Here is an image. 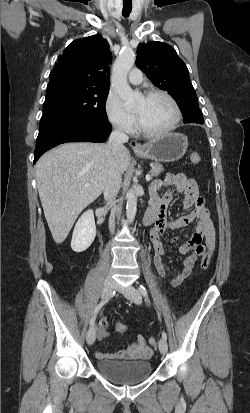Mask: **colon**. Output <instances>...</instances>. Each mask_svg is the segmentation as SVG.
I'll use <instances>...</instances> for the list:
<instances>
[{
  "instance_id": "obj_1",
  "label": "colon",
  "mask_w": 250,
  "mask_h": 413,
  "mask_svg": "<svg viewBox=\"0 0 250 413\" xmlns=\"http://www.w3.org/2000/svg\"><path fill=\"white\" fill-rule=\"evenodd\" d=\"M201 160L200 155L198 153H192L190 155V161L193 164L199 163ZM211 258H212V251L211 250H206L204 254L202 255L200 267L202 271H206L211 263ZM115 321L113 323V328L117 329V334L118 335H123L127 331V326L125 325L124 322H121L120 316H115ZM100 327L102 329H106L108 327V320L106 318L102 319L100 322ZM149 345L151 347H155L156 345V339L154 337L149 338Z\"/></svg>"
}]
</instances>
